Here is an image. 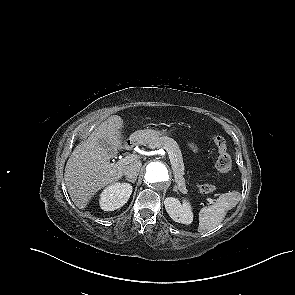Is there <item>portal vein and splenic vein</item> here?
Masks as SVG:
<instances>
[{"label":"portal vein and splenic vein","instance_id":"18ae733b","mask_svg":"<svg viewBox=\"0 0 295 295\" xmlns=\"http://www.w3.org/2000/svg\"><path fill=\"white\" fill-rule=\"evenodd\" d=\"M164 149L167 151V153H168V155H169V158H170V161H171V165H173V162H174V156H173L172 151L169 150V149H167V148H164ZM137 159H138V156H137V155H135V154H130V155L124 157L123 159H121V160L118 162V164H119V165H126V164H129V163H131V162L137 160ZM206 201H207V204H213V199H212V198H209V197H208V198H206Z\"/></svg>","mask_w":295,"mask_h":295}]
</instances>
